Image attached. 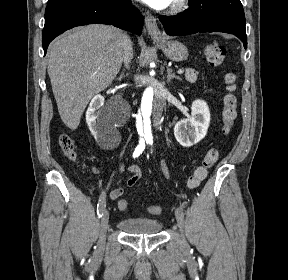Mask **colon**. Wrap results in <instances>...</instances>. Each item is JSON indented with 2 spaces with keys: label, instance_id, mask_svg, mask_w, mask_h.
Wrapping results in <instances>:
<instances>
[{
  "label": "colon",
  "instance_id": "1",
  "mask_svg": "<svg viewBox=\"0 0 288 280\" xmlns=\"http://www.w3.org/2000/svg\"><path fill=\"white\" fill-rule=\"evenodd\" d=\"M226 55L225 48L218 43H210L204 48V57L207 63L212 67H218L223 63ZM237 77L234 73H227L224 76V84L227 90V94L223 99L222 119L224 131L228 133L236 118H237V98L234 94L236 88ZM58 143L62 153L74 160L76 158L74 142L68 134L60 135ZM219 158V152L217 149H210L203 158L200 166H198L192 175L188 178L187 185L189 188H197L201 182L206 178L208 170L216 164ZM119 207L126 210L128 203L126 200H122L119 203ZM149 212L158 214L161 212V207L154 205L148 207Z\"/></svg>",
  "mask_w": 288,
  "mask_h": 280
}]
</instances>
